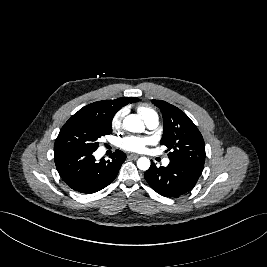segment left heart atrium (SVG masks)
I'll use <instances>...</instances> for the list:
<instances>
[{"label": "left heart atrium", "instance_id": "39dd6f15", "mask_svg": "<svg viewBox=\"0 0 267 267\" xmlns=\"http://www.w3.org/2000/svg\"><path fill=\"white\" fill-rule=\"evenodd\" d=\"M150 143L149 138L125 137L120 141V146L127 151L141 152Z\"/></svg>", "mask_w": 267, "mask_h": 267}]
</instances>
